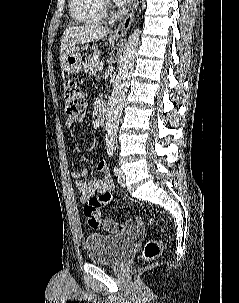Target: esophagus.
<instances>
[{
  "mask_svg": "<svg viewBox=\"0 0 239 303\" xmlns=\"http://www.w3.org/2000/svg\"><path fill=\"white\" fill-rule=\"evenodd\" d=\"M138 4H139V0H135L129 14L120 23V25L111 33V36L113 38L119 39V38H123L126 35L127 31L130 29L132 22L134 20L135 11L137 9Z\"/></svg>",
  "mask_w": 239,
  "mask_h": 303,
  "instance_id": "obj_1",
  "label": "esophagus"
}]
</instances>
